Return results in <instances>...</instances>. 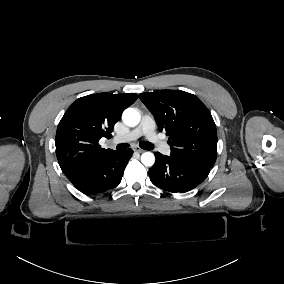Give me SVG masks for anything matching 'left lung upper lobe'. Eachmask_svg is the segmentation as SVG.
Returning <instances> with one entry per match:
<instances>
[{"label": "left lung upper lobe", "instance_id": "obj_1", "mask_svg": "<svg viewBox=\"0 0 284 284\" xmlns=\"http://www.w3.org/2000/svg\"><path fill=\"white\" fill-rule=\"evenodd\" d=\"M160 131H166L171 156L212 168L217 157V131L210 111L193 94L158 90L139 94Z\"/></svg>", "mask_w": 284, "mask_h": 284}]
</instances>
